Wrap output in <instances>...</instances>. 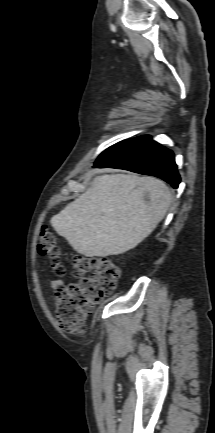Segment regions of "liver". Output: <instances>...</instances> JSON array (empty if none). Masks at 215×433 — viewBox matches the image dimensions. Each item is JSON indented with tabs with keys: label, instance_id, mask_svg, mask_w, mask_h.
Wrapping results in <instances>:
<instances>
[{
	"label": "liver",
	"instance_id": "obj_1",
	"mask_svg": "<svg viewBox=\"0 0 215 433\" xmlns=\"http://www.w3.org/2000/svg\"><path fill=\"white\" fill-rule=\"evenodd\" d=\"M170 203L168 187L157 178L102 175L50 222L79 254L106 257L135 248L164 218Z\"/></svg>",
	"mask_w": 215,
	"mask_h": 433
}]
</instances>
